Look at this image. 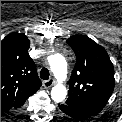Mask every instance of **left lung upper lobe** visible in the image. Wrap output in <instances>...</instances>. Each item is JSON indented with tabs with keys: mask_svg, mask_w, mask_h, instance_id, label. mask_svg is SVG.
Instances as JSON below:
<instances>
[{
	"mask_svg": "<svg viewBox=\"0 0 122 122\" xmlns=\"http://www.w3.org/2000/svg\"><path fill=\"white\" fill-rule=\"evenodd\" d=\"M67 43L76 55L65 104L97 115L113 93L114 67L106 50L87 36H72Z\"/></svg>",
	"mask_w": 122,
	"mask_h": 122,
	"instance_id": "1",
	"label": "left lung upper lobe"
}]
</instances>
